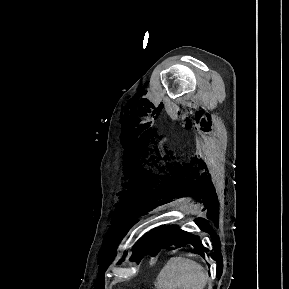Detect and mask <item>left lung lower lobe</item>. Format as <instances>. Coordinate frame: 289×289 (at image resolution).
<instances>
[{
  "label": "left lung lower lobe",
  "instance_id": "0a47b994",
  "mask_svg": "<svg viewBox=\"0 0 289 289\" xmlns=\"http://www.w3.org/2000/svg\"><path fill=\"white\" fill-rule=\"evenodd\" d=\"M163 240L165 242V246H181L183 244L189 243L192 244L194 247L203 250L201 241L197 237L183 232L176 225H172L171 227H168V229H165V235L163 237Z\"/></svg>",
  "mask_w": 289,
  "mask_h": 289
}]
</instances>
